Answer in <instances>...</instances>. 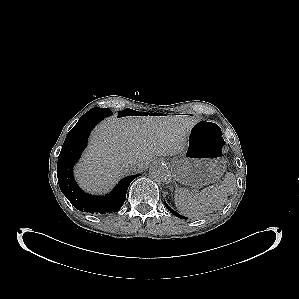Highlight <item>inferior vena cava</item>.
Here are the masks:
<instances>
[{
  "label": "inferior vena cava",
  "mask_w": 299,
  "mask_h": 299,
  "mask_svg": "<svg viewBox=\"0 0 299 299\" xmlns=\"http://www.w3.org/2000/svg\"><path fill=\"white\" fill-rule=\"evenodd\" d=\"M131 167H133V168H134V167H135V164H132V165H131Z\"/></svg>",
  "instance_id": "inferior-vena-cava-1"
}]
</instances>
